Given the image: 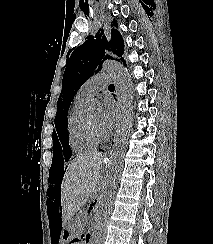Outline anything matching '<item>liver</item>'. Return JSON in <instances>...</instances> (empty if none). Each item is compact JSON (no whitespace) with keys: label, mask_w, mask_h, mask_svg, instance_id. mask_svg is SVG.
Segmentation results:
<instances>
[{"label":"liver","mask_w":213,"mask_h":244,"mask_svg":"<svg viewBox=\"0 0 213 244\" xmlns=\"http://www.w3.org/2000/svg\"><path fill=\"white\" fill-rule=\"evenodd\" d=\"M103 159L102 153L93 152L78 155L69 163L61 184L63 224L69 223L72 216L95 191Z\"/></svg>","instance_id":"6515ba94"}]
</instances>
